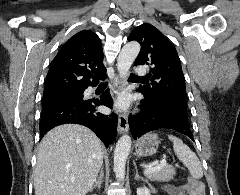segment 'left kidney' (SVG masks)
Instances as JSON below:
<instances>
[{"mask_svg":"<svg viewBox=\"0 0 240 195\" xmlns=\"http://www.w3.org/2000/svg\"><path fill=\"white\" fill-rule=\"evenodd\" d=\"M137 195H151L148 187H137Z\"/></svg>","mask_w":240,"mask_h":195,"instance_id":"1","label":"left kidney"}]
</instances>
